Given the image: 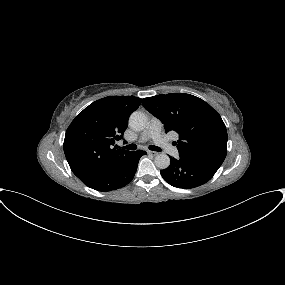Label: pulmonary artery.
<instances>
[{"label": "pulmonary artery", "instance_id": "obj_1", "mask_svg": "<svg viewBox=\"0 0 285 285\" xmlns=\"http://www.w3.org/2000/svg\"><path fill=\"white\" fill-rule=\"evenodd\" d=\"M149 139H153L155 144L163 147L166 152L173 156L176 157L178 155V150L174 148L167 139L162 138V123L158 119H152L149 122L147 128L140 135L138 141L146 142Z\"/></svg>", "mask_w": 285, "mask_h": 285}]
</instances>
